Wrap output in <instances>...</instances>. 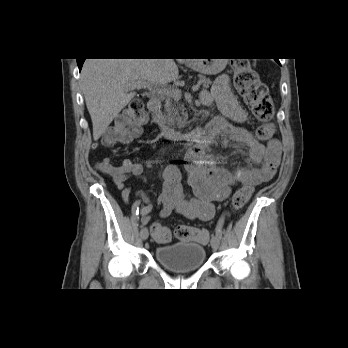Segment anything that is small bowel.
Segmentation results:
<instances>
[{
  "label": "small bowel",
  "instance_id": "1",
  "mask_svg": "<svg viewBox=\"0 0 348 348\" xmlns=\"http://www.w3.org/2000/svg\"><path fill=\"white\" fill-rule=\"evenodd\" d=\"M200 100L205 106H211L215 102L222 113L207 126L211 128L213 135H222L228 141L245 147L246 159L242 166L230 170L219 166L216 157L208 154L204 147H190L186 171L188 182L197 197L187 198L184 195L180 169L168 166L158 198L161 218L176 211L191 220H211L215 214V202L226 200L233 186H254L266 182L274 176L280 163L281 143L278 139H272L267 145H263L250 132L235 124L245 122L247 113L231 91L228 75L219 76L211 91H201ZM96 169L112 179L127 204L133 195L131 188L127 186L128 180L137 178L146 182L142 165L127 158L119 166L112 165L109 160L101 161ZM134 195L138 199L132 204L133 213L147 225L151 220L153 205L143 191H136Z\"/></svg>",
  "mask_w": 348,
  "mask_h": 348
}]
</instances>
